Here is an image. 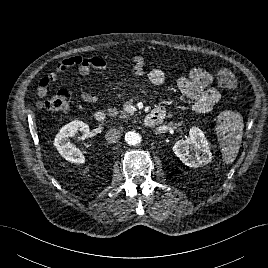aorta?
<instances>
[{
  "mask_svg": "<svg viewBox=\"0 0 268 268\" xmlns=\"http://www.w3.org/2000/svg\"><path fill=\"white\" fill-rule=\"evenodd\" d=\"M125 141L129 145H137L141 142V136L135 131H129L125 134Z\"/></svg>",
  "mask_w": 268,
  "mask_h": 268,
  "instance_id": "1",
  "label": "aorta"
}]
</instances>
